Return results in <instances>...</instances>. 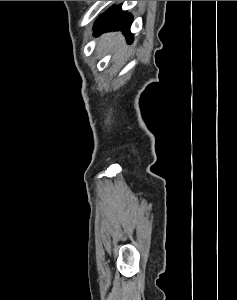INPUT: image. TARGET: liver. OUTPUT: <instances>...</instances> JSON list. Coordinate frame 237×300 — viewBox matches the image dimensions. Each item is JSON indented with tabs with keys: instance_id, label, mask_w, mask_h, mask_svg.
<instances>
[{
	"instance_id": "liver-1",
	"label": "liver",
	"mask_w": 237,
	"mask_h": 300,
	"mask_svg": "<svg viewBox=\"0 0 237 300\" xmlns=\"http://www.w3.org/2000/svg\"><path fill=\"white\" fill-rule=\"evenodd\" d=\"M97 49L99 53L114 51V61L123 57L126 51H128L121 33H106V35H101L100 39H98Z\"/></svg>"
}]
</instances>
